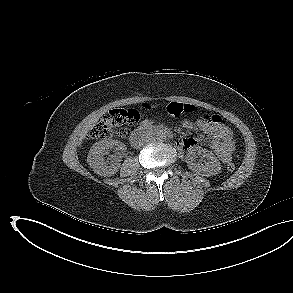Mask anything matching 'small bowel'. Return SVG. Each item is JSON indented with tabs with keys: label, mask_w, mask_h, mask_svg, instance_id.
<instances>
[{
	"label": "small bowel",
	"mask_w": 293,
	"mask_h": 293,
	"mask_svg": "<svg viewBox=\"0 0 293 293\" xmlns=\"http://www.w3.org/2000/svg\"><path fill=\"white\" fill-rule=\"evenodd\" d=\"M143 125H150V121L145 120ZM182 126L185 129L197 128L200 130L202 136L208 140L210 147L221 162L227 163L231 160L234 150V140L232 132L228 127L221 123L211 122L202 117L195 124L190 120H184ZM198 144L199 140L195 138H183L178 142V147L181 150H186Z\"/></svg>",
	"instance_id": "small-bowel-1"
}]
</instances>
